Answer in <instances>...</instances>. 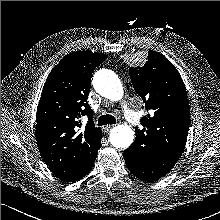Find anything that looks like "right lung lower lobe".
I'll return each mask as SVG.
<instances>
[{"mask_svg": "<svg viewBox=\"0 0 220 220\" xmlns=\"http://www.w3.org/2000/svg\"><path fill=\"white\" fill-rule=\"evenodd\" d=\"M100 147H101V142H100V144L98 145V150L100 149ZM96 157H97V155H96ZM96 157H95V158L93 159V161L90 163V165L88 166V168L82 173V175H81L78 179H76V180H74V181H77V180H79V179L85 177V176L91 171V169H92V167H93V165H94V162H95ZM74 181H71V182H74Z\"/></svg>", "mask_w": 220, "mask_h": 220, "instance_id": "right-lung-lower-lobe-1", "label": "right lung lower lobe"}]
</instances>
